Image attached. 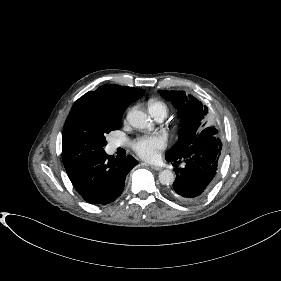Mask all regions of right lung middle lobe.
Here are the masks:
<instances>
[{"label":"right lung middle lobe","instance_id":"dd1d6c3e","mask_svg":"<svg viewBox=\"0 0 281 281\" xmlns=\"http://www.w3.org/2000/svg\"><path fill=\"white\" fill-rule=\"evenodd\" d=\"M123 113L114 112L91 98L80 97L65 121L62 160L66 170L104 152L105 135L121 127Z\"/></svg>","mask_w":281,"mask_h":281}]
</instances>
